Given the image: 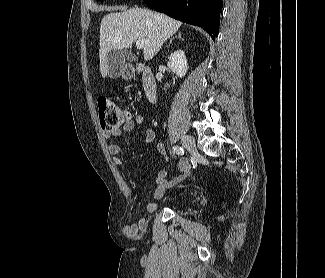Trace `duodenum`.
<instances>
[{
	"label": "duodenum",
	"instance_id": "obj_1",
	"mask_svg": "<svg viewBox=\"0 0 325 278\" xmlns=\"http://www.w3.org/2000/svg\"><path fill=\"white\" fill-rule=\"evenodd\" d=\"M142 88L145 98L154 103L157 99V84L151 69L144 68L142 73Z\"/></svg>",
	"mask_w": 325,
	"mask_h": 278
}]
</instances>
